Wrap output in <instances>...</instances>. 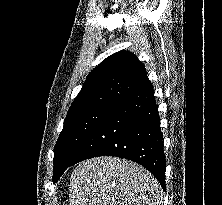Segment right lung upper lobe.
<instances>
[{
  "label": "right lung upper lobe",
  "mask_w": 222,
  "mask_h": 205,
  "mask_svg": "<svg viewBox=\"0 0 222 205\" xmlns=\"http://www.w3.org/2000/svg\"><path fill=\"white\" fill-rule=\"evenodd\" d=\"M150 83L144 65L133 53H114L88 75L66 118L92 109L113 108L126 96Z\"/></svg>",
  "instance_id": "right-lung-upper-lobe-1"
}]
</instances>
